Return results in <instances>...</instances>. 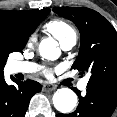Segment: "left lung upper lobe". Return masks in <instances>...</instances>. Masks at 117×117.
Masks as SVG:
<instances>
[{
	"label": "left lung upper lobe",
	"instance_id": "1",
	"mask_svg": "<svg viewBox=\"0 0 117 117\" xmlns=\"http://www.w3.org/2000/svg\"><path fill=\"white\" fill-rule=\"evenodd\" d=\"M53 11L79 29L81 45L73 69L90 72L88 86L117 89V32L101 14L84 7H59Z\"/></svg>",
	"mask_w": 117,
	"mask_h": 117
}]
</instances>
